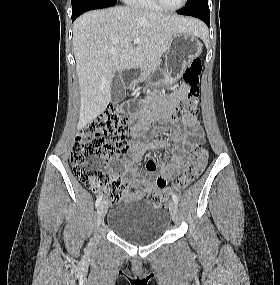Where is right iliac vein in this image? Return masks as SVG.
Here are the masks:
<instances>
[{"label":"right iliac vein","instance_id":"1","mask_svg":"<svg viewBox=\"0 0 280 285\" xmlns=\"http://www.w3.org/2000/svg\"><path fill=\"white\" fill-rule=\"evenodd\" d=\"M107 209H108V205L105 201L99 205L98 210H97V225L98 226L102 223L107 213Z\"/></svg>","mask_w":280,"mask_h":285}]
</instances>
